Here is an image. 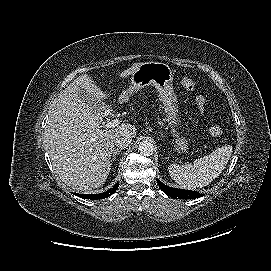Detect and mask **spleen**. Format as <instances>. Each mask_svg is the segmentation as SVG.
I'll return each mask as SVG.
<instances>
[{"label":"spleen","mask_w":271,"mask_h":271,"mask_svg":"<svg viewBox=\"0 0 271 271\" xmlns=\"http://www.w3.org/2000/svg\"><path fill=\"white\" fill-rule=\"evenodd\" d=\"M232 147L223 146L211 154L184 165L171 164L168 168L171 178L181 187L194 190L210 184L226 167Z\"/></svg>","instance_id":"spleen-1"}]
</instances>
